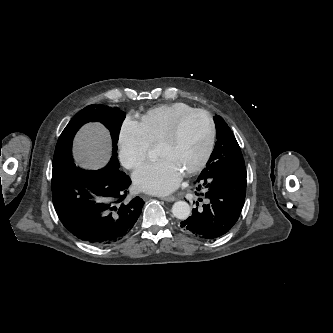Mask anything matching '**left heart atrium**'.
<instances>
[{"instance_id": "obj_1", "label": "left heart atrium", "mask_w": 333, "mask_h": 333, "mask_svg": "<svg viewBox=\"0 0 333 333\" xmlns=\"http://www.w3.org/2000/svg\"><path fill=\"white\" fill-rule=\"evenodd\" d=\"M183 172L169 158L148 162L133 174L135 186L142 191L166 195L180 184Z\"/></svg>"}]
</instances>
